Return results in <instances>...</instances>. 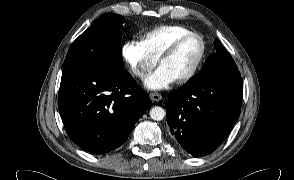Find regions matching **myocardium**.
Masks as SVG:
<instances>
[{
    "mask_svg": "<svg viewBox=\"0 0 294 180\" xmlns=\"http://www.w3.org/2000/svg\"><path fill=\"white\" fill-rule=\"evenodd\" d=\"M192 37H196L199 39L200 45H201V51H200L198 59L196 60L194 66L191 68V70L185 76L176 80V83L179 85L186 84L189 81H191L196 76L198 71L200 70V68L204 62V59L206 57V51H207V44H206L204 37L200 33L195 32V31H190L186 34H183V35L177 37L168 46V48L161 54V56L158 58V63L161 64V62L163 60L172 56L182 43H184L186 40H188L189 38H192Z\"/></svg>",
    "mask_w": 294,
    "mask_h": 180,
    "instance_id": "f54148a6",
    "label": "myocardium"
}]
</instances>
